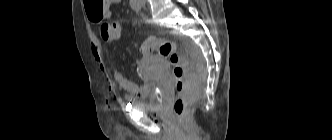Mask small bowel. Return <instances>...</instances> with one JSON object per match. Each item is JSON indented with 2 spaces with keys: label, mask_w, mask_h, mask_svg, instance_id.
Listing matches in <instances>:
<instances>
[{
  "label": "small bowel",
  "mask_w": 332,
  "mask_h": 140,
  "mask_svg": "<svg viewBox=\"0 0 332 140\" xmlns=\"http://www.w3.org/2000/svg\"><path fill=\"white\" fill-rule=\"evenodd\" d=\"M120 2L121 0H106L103 18H110L112 15L111 7ZM114 40L115 39L113 38L104 36L100 32L99 37H95L92 41V53L100 70L103 73V77L107 83L108 92L111 94H116L117 84L126 92L125 100L127 101H133L136 96L145 97L150 92V82L147 73L141 66L138 68L139 76L142 79L141 85H138L129 80L122 72H114L113 77H111V75L109 74L103 58L102 44L110 43ZM135 47L137 48V45H135Z\"/></svg>",
  "instance_id": "obj_1"
}]
</instances>
